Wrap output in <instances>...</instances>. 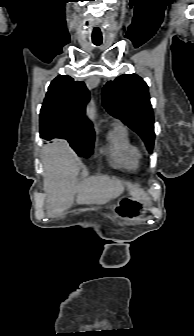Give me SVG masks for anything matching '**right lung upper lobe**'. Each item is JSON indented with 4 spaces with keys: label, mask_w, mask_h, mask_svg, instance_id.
<instances>
[{
    "label": "right lung upper lobe",
    "mask_w": 194,
    "mask_h": 336,
    "mask_svg": "<svg viewBox=\"0 0 194 336\" xmlns=\"http://www.w3.org/2000/svg\"><path fill=\"white\" fill-rule=\"evenodd\" d=\"M89 92L81 81L59 75L50 84L40 111V136L46 140L80 135L94 137L84 118Z\"/></svg>",
    "instance_id": "1"
}]
</instances>
